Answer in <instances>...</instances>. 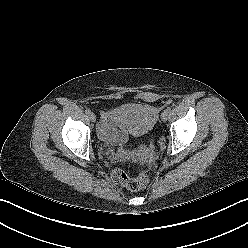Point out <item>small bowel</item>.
<instances>
[{
  "instance_id": "1",
  "label": "small bowel",
  "mask_w": 248,
  "mask_h": 248,
  "mask_svg": "<svg viewBox=\"0 0 248 248\" xmlns=\"http://www.w3.org/2000/svg\"><path fill=\"white\" fill-rule=\"evenodd\" d=\"M98 133L108 145L125 143L129 138L128 131L118 123L115 110H109L101 115Z\"/></svg>"
}]
</instances>
